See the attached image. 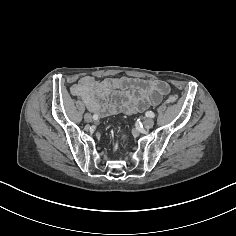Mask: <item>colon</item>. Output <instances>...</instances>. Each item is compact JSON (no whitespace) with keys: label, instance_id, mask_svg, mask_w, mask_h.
<instances>
[{"label":"colon","instance_id":"5ec220e1","mask_svg":"<svg viewBox=\"0 0 236 236\" xmlns=\"http://www.w3.org/2000/svg\"><path fill=\"white\" fill-rule=\"evenodd\" d=\"M168 102L171 104H176L178 102V96L175 94H172L168 97ZM125 135L121 136L122 141H125Z\"/></svg>","mask_w":236,"mask_h":236}]
</instances>
